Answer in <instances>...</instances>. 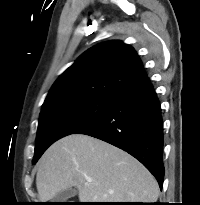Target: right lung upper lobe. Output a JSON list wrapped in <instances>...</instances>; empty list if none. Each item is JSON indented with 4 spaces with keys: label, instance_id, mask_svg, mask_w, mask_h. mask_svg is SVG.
Instances as JSON below:
<instances>
[{
    "label": "right lung upper lobe",
    "instance_id": "obj_1",
    "mask_svg": "<svg viewBox=\"0 0 200 205\" xmlns=\"http://www.w3.org/2000/svg\"><path fill=\"white\" fill-rule=\"evenodd\" d=\"M144 78L142 63L132 47L121 41L102 43L83 53L57 79L42 109L79 96L115 99Z\"/></svg>",
    "mask_w": 200,
    "mask_h": 205
}]
</instances>
